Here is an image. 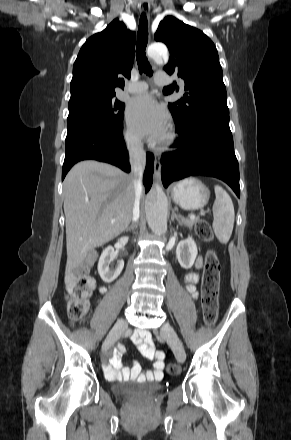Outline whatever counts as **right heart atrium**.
Returning <instances> with one entry per match:
<instances>
[{
  "label": "right heart atrium",
  "instance_id": "d8ad5b80",
  "mask_svg": "<svg viewBox=\"0 0 291 440\" xmlns=\"http://www.w3.org/2000/svg\"><path fill=\"white\" fill-rule=\"evenodd\" d=\"M124 139L128 146L137 144V138L131 130H126L124 134Z\"/></svg>",
  "mask_w": 291,
  "mask_h": 440
}]
</instances>
